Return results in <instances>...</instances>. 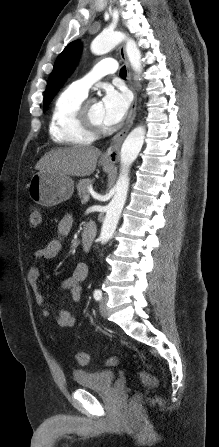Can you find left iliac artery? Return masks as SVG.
<instances>
[{"label":"left iliac artery","mask_w":219,"mask_h":447,"mask_svg":"<svg viewBox=\"0 0 219 447\" xmlns=\"http://www.w3.org/2000/svg\"><path fill=\"white\" fill-rule=\"evenodd\" d=\"M93 296L95 300L99 301L102 298V292L100 290H95Z\"/></svg>","instance_id":"44dca946"}]
</instances>
